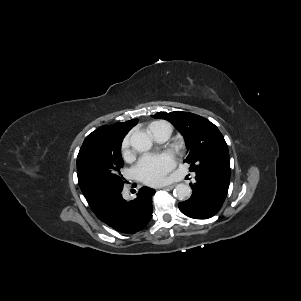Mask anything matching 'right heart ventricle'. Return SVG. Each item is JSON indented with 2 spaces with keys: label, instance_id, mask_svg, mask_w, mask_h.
<instances>
[{
  "label": "right heart ventricle",
  "instance_id": "1",
  "mask_svg": "<svg viewBox=\"0 0 301 301\" xmlns=\"http://www.w3.org/2000/svg\"><path fill=\"white\" fill-rule=\"evenodd\" d=\"M156 123H159V122L152 123V124L150 125V127H151L152 125L156 124ZM150 127H149V130H150Z\"/></svg>",
  "mask_w": 301,
  "mask_h": 301
}]
</instances>
